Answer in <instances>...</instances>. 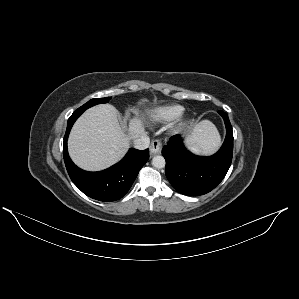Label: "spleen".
I'll return each instance as SVG.
<instances>
[{
  "mask_svg": "<svg viewBox=\"0 0 299 299\" xmlns=\"http://www.w3.org/2000/svg\"><path fill=\"white\" fill-rule=\"evenodd\" d=\"M205 122H206L208 125H210V126L214 127L212 123H210V122H207V121H205Z\"/></svg>",
  "mask_w": 299,
  "mask_h": 299,
  "instance_id": "spleen-1",
  "label": "spleen"
}]
</instances>
